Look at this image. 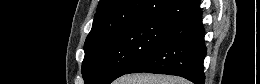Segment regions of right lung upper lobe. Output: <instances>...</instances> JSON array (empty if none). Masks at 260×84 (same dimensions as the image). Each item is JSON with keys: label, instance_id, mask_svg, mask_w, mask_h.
<instances>
[{"label": "right lung upper lobe", "instance_id": "1", "mask_svg": "<svg viewBox=\"0 0 260 84\" xmlns=\"http://www.w3.org/2000/svg\"><path fill=\"white\" fill-rule=\"evenodd\" d=\"M199 8V0H100L85 43L136 22L175 24Z\"/></svg>", "mask_w": 260, "mask_h": 84}]
</instances>
